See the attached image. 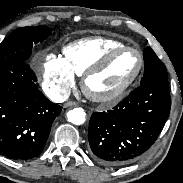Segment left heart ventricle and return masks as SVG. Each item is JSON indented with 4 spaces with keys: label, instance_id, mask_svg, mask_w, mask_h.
Returning <instances> with one entry per match:
<instances>
[{
    "label": "left heart ventricle",
    "instance_id": "left-heart-ventricle-1",
    "mask_svg": "<svg viewBox=\"0 0 183 183\" xmlns=\"http://www.w3.org/2000/svg\"><path fill=\"white\" fill-rule=\"evenodd\" d=\"M139 57L133 51L119 53L102 72L88 81V88L95 94L108 95L122 88L136 73Z\"/></svg>",
    "mask_w": 183,
    "mask_h": 183
}]
</instances>
